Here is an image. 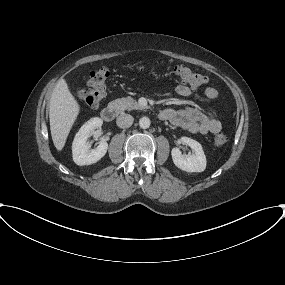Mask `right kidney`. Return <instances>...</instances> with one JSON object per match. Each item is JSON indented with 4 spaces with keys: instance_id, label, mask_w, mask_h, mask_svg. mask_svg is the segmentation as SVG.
<instances>
[{
    "instance_id": "1",
    "label": "right kidney",
    "mask_w": 285,
    "mask_h": 285,
    "mask_svg": "<svg viewBox=\"0 0 285 285\" xmlns=\"http://www.w3.org/2000/svg\"><path fill=\"white\" fill-rule=\"evenodd\" d=\"M103 124L98 117L87 121L76 134L72 144V156L74 162L79 166L90 165L99 161L107 152L108 143L102 140L95 149H90L88 138L92 136L96 128Z\"/></svg>"
}]
</instances>
